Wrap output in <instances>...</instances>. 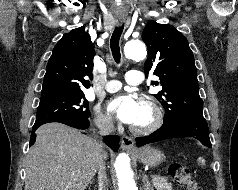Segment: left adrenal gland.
<instances>
[{"label": "left adrenal gland", "mask_w": 238, "mask_h": 190, "mask_svg": "<svg viewBox=\"0 0 238 190\" xmlns=\"http://www.w3.org/2000/svg\"><path fill=\"white\" fill-rule=\"evenodd\" d=\"M143 183H144L143 190H154L146 174L143 175Z\"/></svg>", "instance_id": "obj_1"}]
</instances>
